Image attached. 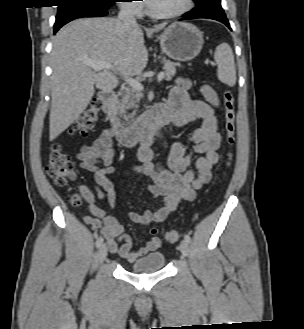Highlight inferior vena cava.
I'll return each instance as SVG.
<instances>
[{
    "label": "inferior vena cava",
    "mask_w": 304,
    "mask_h": 329,
    "mask_svg": "<svg viewBox=\"0 0 304 329\" xmlns=\"http://www.w3.org/2000/svg\"><path fill=\"white\" fill-rule=\"evenodd\" d=\"M118 20L126 26H136L137 23L133 6L130 4H123L118 14Z\"/></svg>",
    "instance_id": "602c4592"
}]
</instances>
